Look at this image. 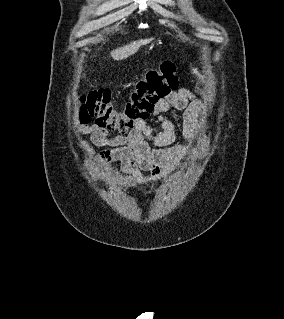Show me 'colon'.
<instances>
[{
    "label": "colon",
    "mask_w": 284,
    "mask_h": 319,
    "mask_svg": "<svg viewBox=\"0 0 284 319\" xmlns=\"http://www.w3.org/2000/svg\"><path fill=\"white\" fill-rule=\"evenodd\" d=\"M179 86L176 67L163 62L148 70L135 84L128 101L116 107L107 90H96L82 97L79 119L82 123H95L106 130L122 134L132 130L138 122L146 121L155 105Z\"/></svg>",
    "instance_id": "5ec220e1"
}]
</instances>
